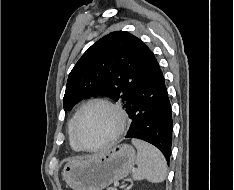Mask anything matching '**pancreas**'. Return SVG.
I'll list each match as a JSON object with an SVG mask.
<instances>
[{
	"label": "pancreas",
	"mask_w": 234,
	"mask_h": 190,
	"mask_svg": "<svg viewBox=\"0 0 234 190\" xmlns=\"http://www.w3.org/2000/svg\"><path fill=\"white\" fill-rule=\"evenodd\" d=\"M107 190H117V189H116V188L110 187V188H108Z\"/></svg>",
	"instance_id": "obj_1"
}]
</instances>
